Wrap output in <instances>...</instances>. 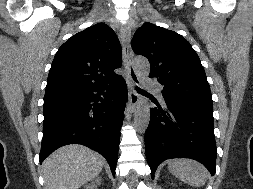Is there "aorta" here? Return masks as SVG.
Segmentation results:
<instances>
[{
    "mask_svg": "<svg viewBox=\"0 0 253 189\" xmlns=\"http://www.w3.org/2000/svg\"><path fill=\"white\" fill-rule=\"evenodd\" d=\"M134 67L139 74H149L150 64L147 59L135 58ZM150 121V107L146 99H143L135 110L134 127L138 133H144Z\"/></svg>",
    "mask_w": 253,
    "mask_h": 189,
    "instance_id": "762f6f07",
    "label": "aorta"
}]
</instances>
